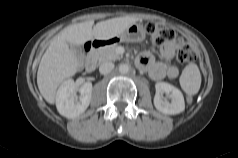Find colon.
Listing matches in <instances>:
<instances>
[{"instance_id": "1", "label": "colon", "mask_w": 238, "mask_h": 158, "mask_svg": "<svg viewBox=\"0 0 238 158\" xmlns=\"http://www.w3.org/2000/svg\"><path fill=\"white\" fill-rule=\"evenodd\" d=\"M146 30L151 42L156 46H162L168 42H178L180 48L178 50L177 59L181 63H189L196 60L197 55L192 45L185 42L172 28L162 23L150 22L146 25ZM188 101H191V97H188Z\"/></svg>"}]
</instances>
